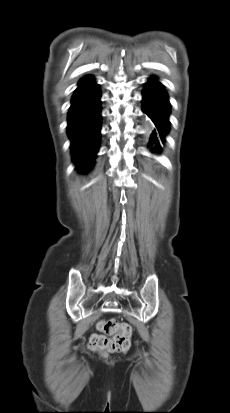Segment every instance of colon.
Here are the masks:
<instances>
[{
    "label": "colon",
    "mask_w": 230,
    "mask_h": 413,
    "mask_svg": "<svg viewBox=\"0 0 230 413\" xmlns=\"http://www.w3.org/2000/svg\"><path fill=\"white\" fill-rule=\"evenodd\" d=\"M97 328L101 334H95L89 338L91 350L99 353H113L126 351L130 348L132 335L130 325L111 318L100 321Z\"/></svg>",
    "instance_id": "5ec220e1"
}]
</instances>
